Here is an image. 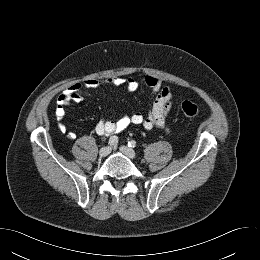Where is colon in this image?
<instances>
[{
	"label": "colon",
	"mask_w": 260,
	"mask_h": 260,
	"mask_svg": "<svg viewBox=\"0 0 260 260\" xmlns=\"http://www.w3.org/2000/svg\"><path fill=\"white\" fill-rule=\"evenodd\" d=\"M181 109L185 117L189 120H194L200 113L199 107L192 101H184Z\"/></svg>",
	"instance_id": "obj_1"
}]
</instances>
